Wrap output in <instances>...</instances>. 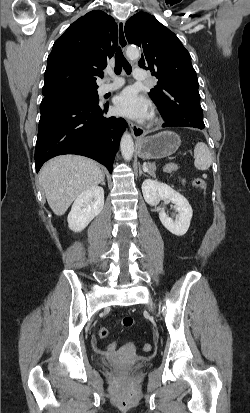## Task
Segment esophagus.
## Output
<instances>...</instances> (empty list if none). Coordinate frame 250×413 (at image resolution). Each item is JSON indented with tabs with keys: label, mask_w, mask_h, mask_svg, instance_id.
I'll return each mask as SVG.
<instances>
[{
	"label": "esophagus",
	"mask_w": 250,
	"mask_h": 413,
	"mask_svg": "<svg viewBox=\"0 0 250 413\" xmlns=\"http://www.w3.org/2000/svg\"><path fill=\"white\" fill-rule=\"evenodd\" d=\"M124 27H125V21H123V20L119 21L118 22V41H119V45H120L122 50H125V48L127 47V44H128L126 36H125ZM128 126H129V128L131 130V133H132V135L135 139L143 136L144 130L140 126H138L137 124H135L131 121H128Z\"/></svg>",
	"instance_id": "1"
}]
</instances>
